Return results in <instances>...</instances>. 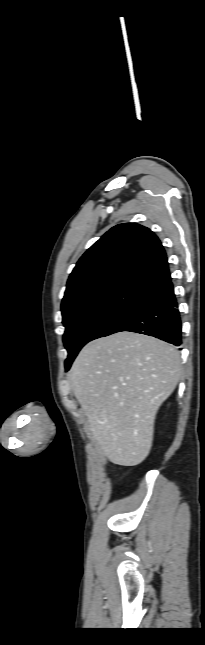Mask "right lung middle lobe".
Returning a JSON list of instances; mask_svg holds the SVG:
<instances>
[{
    "mask_svg": "<svg viewBox=\"0 0 205 645\" xmlns=\"http://www.w3.org/2000/svg\"><path fill=\"white\" fill-rule=\"evenodd\" d=\"M144 293V287L126 284L63 308L66 328L63 341L68 351L66 370L87 342L101 337L140 301Z\"/></svg>",
    "mask_w": 205,
    "mask_h": 645,
    "instance_id": "obj_1",
    "label": "right lung middle lobe"
}]
</instances>
